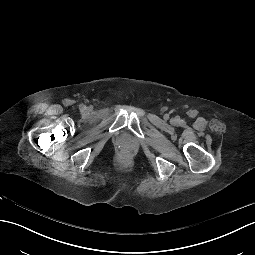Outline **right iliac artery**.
Wrapping results in <instances>:
<instances>
[{
    "label": "right iliac artery",
    "mask_w": 255,
    "mask_h": 255,
    "mask_svg": "<svg viewBox=\"0 0 255 255\" xmlns=\"http://www.w3.org/2000/svg\"><path fill=\"white\" fill-rule=\"evenodd\" d=\"M80 107H81V109H84V106H83V105H81Z\"/></svg>",
    "instance_id": "1"
}]
</instances>
